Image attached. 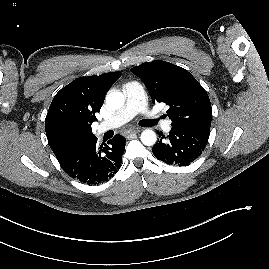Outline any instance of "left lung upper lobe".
<instances>
[{
  "instance_id": "left-lung-upper-lobe-1",
  "label": "left lung upper lobe",
  "mask_w": 269,
  "mask_h": 269,
  "mask_svg": "<svg viewBox=\"0 0 269 269\" xmlns=\"http://www.w3.org/2000/svg\"><path fill=\"white\" fill-rule=\"evenodd\" d=\"M146 85L153 102L169 106L172 128H208L211 103L205 89L184 68L156 60L130 69Z\"/></svg>"
}]
</instances>
